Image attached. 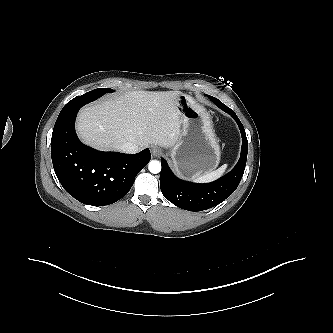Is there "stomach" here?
<instances>
[{
    "mask_svg": "<svg viewBox=\"0 0 333 333\" xmlns=\"http://www.w3.org/2000/svg\"><path fill=\"white\" fill-rule=\"evenodd\" d=\"M178 109L182 130L171 149L174 170L190 179L215 170L220 163V146L210 114L193 98L181 94Z\"/></svg>",
    "mask_w": 333,
    "mask_h": 333,
    "instance_id": "stomach-1",
    "label": "stomach"
}]
</instances>
